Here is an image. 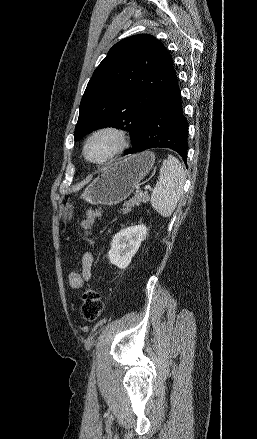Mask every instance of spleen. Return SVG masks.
Returning a JSON list of instances; mask_svg holds the SVG:
<instances>
[{"label": "spleen", "mask_w": 257, "mask_h": 439, "mask_svg": "<svg viewBox=\"0 0 257 439\" xmlns=\"http://www.w3.org/2000/svg\"><path fill=\"white\" fill-rule=\"evenodd\" d=\"M184 169L177 158L168 155L160 168L159 179L151 194V206L162 217H170L183 193Z\"/></svg>", "instance_id": "spleen-1"}]
</instances>
